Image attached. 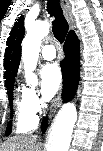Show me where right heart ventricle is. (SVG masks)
I'll use <instances>...</instances> for the list:
<instances>
[{"instance_id": "1", "label": "right heart ventricle", "mask_w": 103, "mask_h": 151, "mask_svg": "<svg viewBox=\"0 0 103 151\" xmlns=\"http://www.w3.org/2000/svg\"><path fill=\"white\" fill-rule=\"evenodd\" d=\"M16 113V132L29 133L35 129L37 125V118L31 116L23 103L22 97L15 100Z\"/></svg>"}]
</instances>
